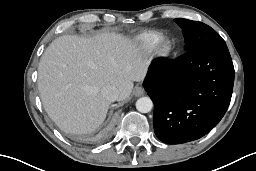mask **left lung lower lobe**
Wrapping results in <instances>:
<instances>
[{
	"label": "left lung lower lobe",
	"mask_w": 256,
	"mask_h": 171,
	"mask_svg": "<svg viewBox=\"0 0 256 171\" xmlns=\"http://www.w3.org/2000/svg\"><path fill=\"white\" fill-rule=\"evenodd\" d=\"M234 66L225 43L196 46L170 61L154 59L143 82L154 102L156 136L168 144L201 138L224 116Z\"/></svg>",
	"instance_id": "0a47b994"
}]
</instances>
